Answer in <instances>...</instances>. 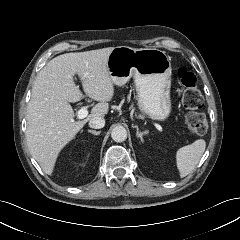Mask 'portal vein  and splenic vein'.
I'll return each mask as SVG.
<instances>
[{"instance_id":"18ae733b","label":"portal vein and splenic vein","mask_w":240,"mask_h":240,"mask_svg":"<svg viewBox=\"0 0 240 240\" xmlns=\"http://www.w3.org/2000/svg\"><path fill=\"white\" fill-rule=\"evenodd\" d=\"M84 76H86V74ZM87 115H88V108L87 107H82L81 109L78 110V113H77L78 119H84V118L87 117ZM154 126L159 131H163V128H162V126L160 124L154 123Z\"/></svg>"}]
</instances>
